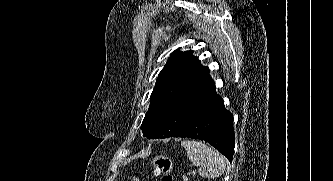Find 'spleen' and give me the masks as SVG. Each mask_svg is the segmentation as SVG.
I'll use <instances>...</instances> for the list:
<instances>
[{
  "label": "spleen",
  "mask_w": 333,
  "mask_h": 181,
  "mask_svg": "<svg viewBox=\"0 0 333 181\" xmlns=\"http://www.w3.org/2000/svg\"><path fill=\"white\" fill-rule=\"evenodd\" d=\"M181 145L192 164L200 167L199 173L203 178H216L224 173L226 160L216 150L198 141L183 140Z\"/></svg>",
  "instance_id": "3e777b00"
}]
</instances>
